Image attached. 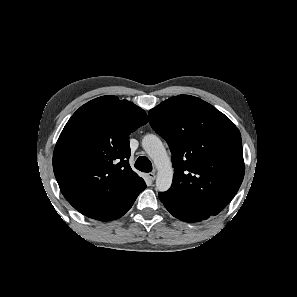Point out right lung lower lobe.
<instances>
[{
  "mask_svg": "<svg viewBox=\"0 0 297 297\" xmlns=\"http://www.w3.org/2000/svg\"><path fill=\"white\" fill-rule=\"evenodd\" d=\"M146 188V185L145 186H142L141 190L139 192H137L125 205L124 207L119 210L115 216H113L110 220H115V219H118L120 218L121 216H123L130 208L131 206L133 205L135 199L137 198V196L139 195V193L141 191H143L144 189ZM109 221V220H108Z\"/></svg>",
  "mask_w": 297,
  "mask_h": 297,
  "instance_id": "98d812e1",
  "label": "right lung lower lobe"
}]
</instances>
